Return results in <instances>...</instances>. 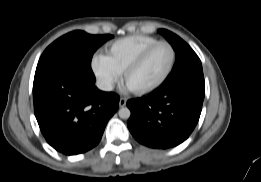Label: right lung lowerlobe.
Returning <instances> with one entry per match:
<instances>
[{
    "mask_svg": "<svg viewBox=\"0 0 261 182\" xmlns=\"http://www.w3.org/2000/svg\"><path fill=\"white\" fill-rule=\"evenodd\" d=\"M34 111L40 130L57 151L74 155L95 147L108 120L118 109L119 96L102 92L71 65L35 75Z\"/></svg>",
    "mask_w": 261,
    "mask_h": 182,
    "instance_id": "obj_1",
    "label": "right lung lower lobe"
}]
</instances>
